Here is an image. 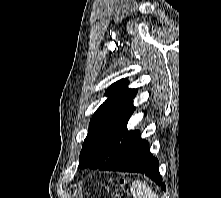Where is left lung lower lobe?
<instances>
[{
    "instance_id": "1",
    "label": "left lung lower lobe",
    "mask_w": 221,
    "mask_h": 198,
    "mask_svg": "<svg viewBox=\"0 0 221 198\" xmlns=\"http://www.w3.org/2000/svg\"><path fill=\"white\" fill-rule=\"evenodd\" d=\"M158 160L150 153L149 144L135 132L105 161L100 170L145 173L165 190Z\"/></svg>"
}]
</instances>
